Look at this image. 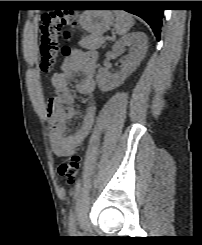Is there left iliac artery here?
I'll list each match as a JSON object with an SVG mask.
<instances>
[{"label": "left iliac artery", "instance_id": "44dca946", "mask_svg": "<svg viewBox=\"0 0 202 245\" xmlns=\"http://www.w3.org/2000/svg\"><path fill=\"white\" fill-rule=\"evenodd\" d=\"M68 224H69V231L75 232L76 231V224H75V214L73 210H70L69 217H68Z\"/></svg>", "mask_w": 202, "mask_h": 245}]
</instances>
